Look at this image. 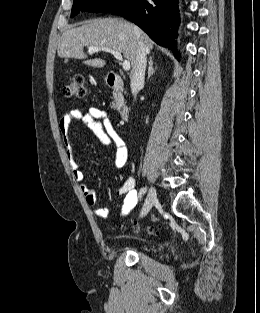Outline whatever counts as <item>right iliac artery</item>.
Listing matches in <instances>:
<instances>
[{
  "label": "right iliac artery",
  "instance_id": "obj_1",
  "mask_svg": "<svg viewBox=\"0 0 260 313\" xmlns=\"http://www.w3.org/2000/svg\"><path fill=\"white\" fill-rule=\"evenodd\" d=\"M146 193V188H141L139 191V197H142V195H144Z\"/></svg>",
  "mask_w": 260,
  "mask_h": 313
}]
</instances>
